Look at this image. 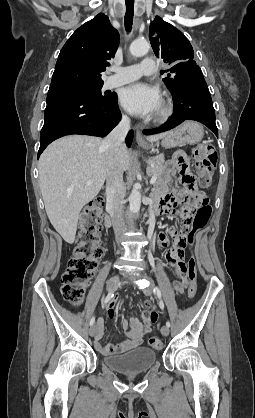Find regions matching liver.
I'll use <instances>...</instances> for the list:
<instances>
[{
  "label": "liver",
  "mask_w": 255,
  "mask_h": 418,
  "mask_svg": "<svg viewBox=\"0 0 255 418\" xmlns=\"http://www.w3.org/2000/svg\"><path fill=\"white\" fill-rule=\"evenodd\" d=\"M166 133L147 137L158 141ZM103 139L70 135L51 143L39 159V183L47 216L69 244L75 240L81 209L93 200L107 178V151ZM118 160L122 171L129 169L131 156L122 144ZM92 181L91 185H87Z\"/></svg>",
  "instance_id": "1"
}]
</instances>
